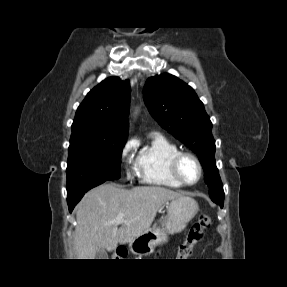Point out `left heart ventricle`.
<instances>
[{"mask_svg": "<svg viewBox=\"0 0 287 287\" xmlns=\"http://www.w3.org/2000/svg\"><path fill=\"white\" fill-rule=\"evenodd\" d=\"M180 171L182 178L189 183H193L199 176V170L195 162L190 158H185L181 165Z\"/></svg>", "mask_w": 287, "mask_h": 287, "instance_id": "b2bd125f", "label": "left heart ventricle"}]
</instances>
